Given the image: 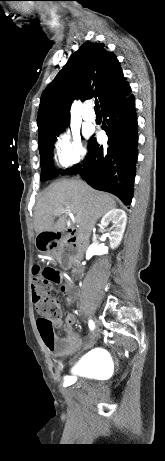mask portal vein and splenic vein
<instances>
[{
    "instance_id": "18ae733b",
    "label": "portal vein and splenic vein",
    "mask_w": 165,
    "mask_h": 461,
    "mask_svg": "<svg viewBox=\"0 0 165 461\" xmlns=\"http://www.w3.org/2000/svg\"><path fill=\"white\" fill-rule=\"evenodd\" d=\"M69 215H70V216H71V215L73 216V214H71V213H69Z\"/></svg>"
}]
</instances>
